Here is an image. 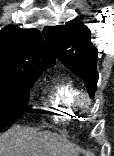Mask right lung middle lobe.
<instances>
[{
	"mask_svg": "<svg viewBox=\"0 0 114 156\" xmlns=\"http://www.w3.org/2000/svg\"><path fill=\"white\" fill-rule=\"evenodd\" d=\"M40 75H0V130L20 117L29 101L28 89Z\"/></svg>",
	"mask_w": 114,
	"mask_h": 156,
	"instance_id": "obj_1",
	"label": "right lung middle lobe"
}]
</instances>
